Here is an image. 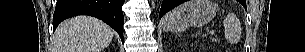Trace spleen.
<instances>
[{
  "mask_svg": "<svg viewBox=\"0 0 305 52\" xmlns=\"http://www.w3.org/2000/svg\"><path fill=\"white\" fill-rule=\"evenodd\" d=\"M223 25H224V29H225V36H226V39L231 42V43H234V40L233 38L231 37V31L234 29V33L235 35H238L239 34V29H238V22L235 18L234 15L232 14H228L224 21H223Z\"/></svg>",
  "mask_w": 305,
  "mask_h": 52,
  "instance_id": "3e777b00",
  "label": "spleen"
}]
</instances>
